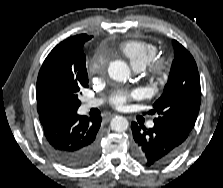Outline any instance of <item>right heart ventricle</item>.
<instances>
[{"label": "right heart ventricle", "instance_id": "1", "mask_svg": "<svg viewBox=\"0 0 223 188\" xmlns=\"http://www.w3.org/2000/svg\"><path fill=\"white\" fill-rule=\"evenodd\" d=\"M118 51L136 68L144 69L158 54L155 44L143 40H125L118 45Z\"/></svg>", "mask_w": 223, "mask_h": 188}]
</instances>
